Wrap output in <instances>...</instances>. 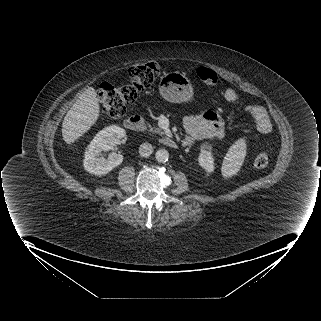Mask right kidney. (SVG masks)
Listing matches in <instances>:
<instances>
[{
  "mask_svg": "<svg viewBox=\"0 0 321 321\" xmlns=\"http://www.w3.org/2000/svg\"><path fill=\"white\" fill-rule=\"evenodd\" d=\"M125 134V130L117 125H111L98 132L85 151V170L95 175H104L119 166L123 161L122 154L112 152L107 159L99 155L102 151L113 149Z\"/></svg>",
  "mask_w": 321,
  "mask_h": 321,
  "instance_id": "right-kidney-1",
  "label": "right kidney"
}]
</instances>
